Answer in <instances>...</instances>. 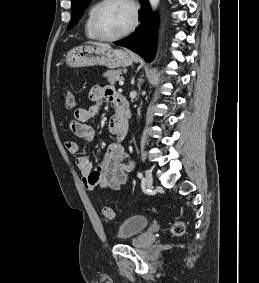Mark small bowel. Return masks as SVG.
Instances as JSON below:
<instances>
[{"label": "small bowel", "mask_w": 259, "mask_h": 283, "mask_svg": "<svg viewBox=\"0 0 259 283\" xmlns=\"http://www.w3.org/2000/svg\"><path fill=\"white\" fill-rule=\"evenodd\" d=\"M119 96L112 86H94L89 93L92 105L77 108L74 112V119L69 124L72 133L85 142H89L93 138L94 129L88 122L98 113L104 102H109L116 107ZM108 128L113 135L114 142L108 146L103 161L97 166H94L88 157L77 156L79 154L77 142L67 141L65 143L67 152L77 156L76 166L82 175L83 185L90 191L98 188L121 190L128 183L129 172L134 166V161L121 144L126 135L127 126L120 127L114 115L109 120Z\"/></svg>", "instance_id": "small-bowel-1"}]
</instances>
